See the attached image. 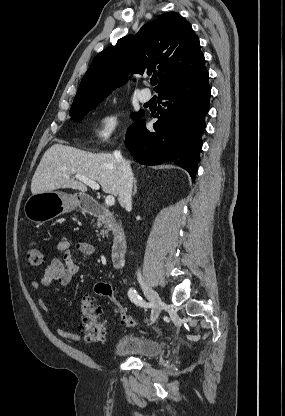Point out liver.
<instances>
[{"label": "liver", "instance_id": "liver-1", "mask_svg": "<svg viewBox=\"0 0 285 416\" xmlns=\"http://www.w3.org/2000/svg\"><path fill=\"white\" fill-rule=\"evenodd\" d=\"M73 174H81L98 182L105 194L119 196L121 174L112 154H90L62 144H54L45 152L32 178L31 192L42 194L59 188L87 192L85 184L75 178H67Z\"/></svg>", "mask_w": 285, "mask_h": 416}]
</instances>
